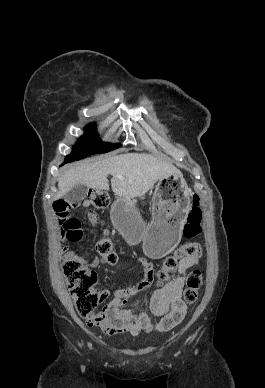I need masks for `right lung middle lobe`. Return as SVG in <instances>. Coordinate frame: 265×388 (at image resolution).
Masks as SVG:
<instances>
[{"label": "right lung middle lobe", "instance_id": "1", "mask_svg": "<svg viewBox=\"0 0 265 388\" xmlns=\"http://www.w3.org/2000/svg\"><path fill=\"white\" fill-rule=\"evenodd\" d=\"M92 126L94 125L90 124L84 129L85 134L78 140L71 154L66 156L65 163L77 161L97 153H106L120 147V144L102 142L101 139L96 137V130L91 128Z\"/></svg>", "mask_w": 265, "mask_h": 388}]
</instances>
